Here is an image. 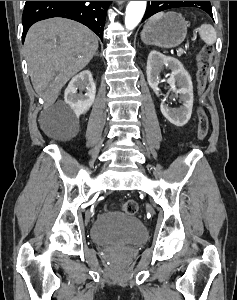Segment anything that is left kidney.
<instances>
[{
	"mask_svg": "<svg viewBox=\"0 0 237 300\" xmlns=\"http://www.w3.org/2000/svg\"><path fill=\"white\" fill-rule=\"evenodd\" d=\"M164 65L165 67H169L172 71L167 83H169L174 93H179L180 101H183V103L179 109H171L168 105H164L162 101L160 105L161 113L172 125L183 127V125H186L189 119H191L193 109L194 99L191 77L178 59L166 57V55H162L159 51H151L147 61V81L157 97H160L159 73ZM176 87H179V89H176Z\"/></svg>",
	"mask_w": 237,
	"mask_h": 300,
	"instance_id": "1",
	"label": "left kidney"
}]
</instances>
